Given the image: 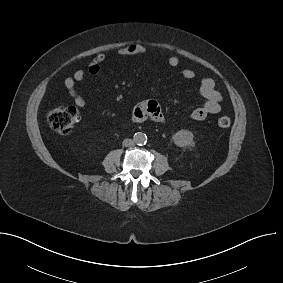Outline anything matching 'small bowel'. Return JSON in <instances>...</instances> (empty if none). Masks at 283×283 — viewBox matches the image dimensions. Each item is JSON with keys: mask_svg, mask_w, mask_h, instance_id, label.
I'll use <instances>...</instances> for the list:
<instances>
[{"mask_svg": "<svg viewBox=\"0 0 283 283\" xmlns=\"http://www.w3.org/2000/svg\"><path fill=\"white\" fill-rule=\"evenodd\" d=\"M147 52V48L144 45L133 43L124 46L118 50V55L121 57L141 55ZM106 60L105 54H98L89 64L88 72L92 75H97L102 69V65ZM167 63L170 67H177L179 65V59L177 56H169ZM86 71L84 69H78L72 76L66 77L64 80V86L67 89L69 95L72 97L74 103L83 108L86 105L85 99L77 92L76 84L82 82L85 79ZM183 78L192 80L195 77V72L190 68L182 70ZM199 92L204 101L202 105L196 107L191 112V118L196 121L204 120L208 115L217 114L221 110L222 95L215 87V83L211 78H203L199 83ZM132 119L135 122H143L147 119H151L156 122H163L164 116L157 101L146 100L138 103L132 111Z\"/></svg>", "mask_w": 283, "mask_h": 283, "instance_id": "c3829d8e", "label": "small bowel"}]
</instances>
